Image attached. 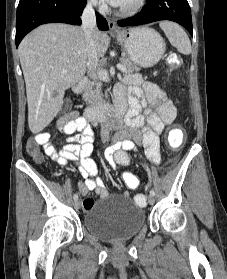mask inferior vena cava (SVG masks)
I'll return each instance as SVG.
<instances>
[{
	"label": "inferior vena cava",
	"mask_w": 227,
	"mask_h": 279,
	"mask_svg": "<svg viewBox=\"0 0 227 279\" xmlns=\"http://www.w3.org/2000/svg\"><path fill=\"white\" fill-rule=\"evenodd\" d=\"M94 3L88 1L82 14V29L85 35L86 50L88 53L87 70L90 77L95 76V70L99 63L97 45L95 41L96 16L94 13Z\"/></svg>",
	"instance_id": "602c4592"
}]
</instances>
